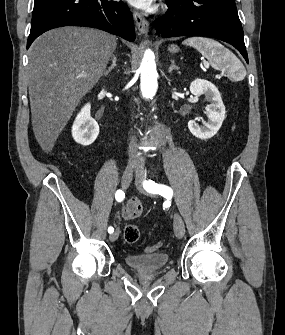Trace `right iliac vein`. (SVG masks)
Instances as JSON below:
<instances>
[{
	"instance_id": "obj_1",
	"label": "right iliac vein",
	"mask_w": 285,
	"mask_h": 335,
	"mask_svg": "<svg viewBox=\"0 0 285 335\" xmlns=\"http://www.w3.org/2000/svg\"><path fill=\"white\" fill-rule=\"evenodd\" d=\"M134 176V171L132 169H127L123 172L121 184L123 189H127L132 181V177ZM119 237V230L116 229L113 234L110 235V241H116Z\"/></svg>"
}]
</instances>
